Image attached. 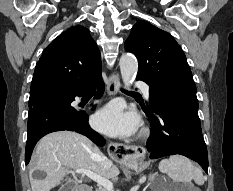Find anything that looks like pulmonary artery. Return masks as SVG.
Returning a JSON list of instances; mask_svg holds the SVG:
<instances>
[{"instance_id":"e3ab8cb5","label":"pulmonary artery","mask_w":233,"mask_h":191,"mask_svg":"<svg viewBox=\"0 0 233 191\" xmlns=\"http://www.w3.org/2000/svg\"><path fill=\"white\" fill-rule=\"evenodd\" d=\"M136 86H138L143 91V93L145 94L147 98L149 97V86L146 83L137 82Z\"/></svg>"}]
</instances>
